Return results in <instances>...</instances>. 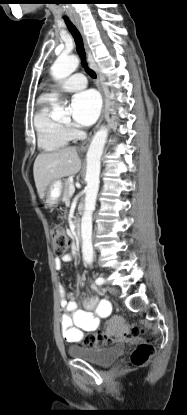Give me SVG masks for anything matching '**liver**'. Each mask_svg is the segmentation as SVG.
<instances>
[{
    "instance_id": "obj_1",
    "label": "liver",
    "mask_w": 187,
    "mask_h": 415,
    "mask_svg": "<svg viewBox=\"0 0 187 415\" xmlns=\"http://www.w3.org/2000/svg\"><path fill=\"white\" fill-rule=\"evenodd\" d=\"M80 168L76 147L39 154L34 162L33 175L40 199L44 198L46 188L52 181L73 175Z\"/></svg>"
}]
</instances>
